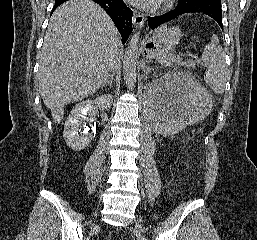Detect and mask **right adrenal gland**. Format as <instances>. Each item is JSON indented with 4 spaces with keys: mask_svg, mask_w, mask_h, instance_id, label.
<instances>
[{
    "mask_svg": "<svg viewBox=\"0 0 257 240\" xmlns=\"http://www.w3.org/2000/svg\"><path fill=\"white\" fill-rule=\"evenodd\" d=\"M113 76L110 78V80H108V81H106L103 85H102V89H103V87H107V86H109L110 88H112V84H113Z\"/></svg>",
    "mask_w": 257,
    "mask_h": 240,
    "instance_id": "obj_1",
    "label": "right adrenal gland"
}]
</instances>
